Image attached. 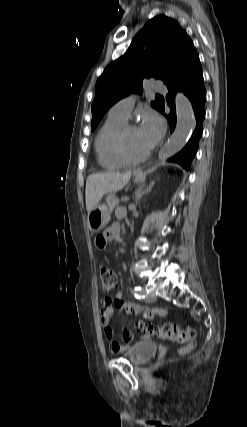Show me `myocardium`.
Returning a JSON list of instances; mask_svg holds the SVG:
<instances>
[{"label":"myocardium","mask_w":247,"mask_h":427,"mask_svg":"<svg viewBox=\"0 0 247 427\" xmlns=\"http://www.w3.org/2000/svg\"><path fill=\"white\" fill-rule=\"evenodd\" d=\"M136 128L135 125L125 123L119 130L115 139V150L118 157L126 164H136L145 161L150 155L152 150L149 149L140 156L134 157L129 154L126 148V135L129 130Z\"/></svg>","instance_id":"f54148a6"}]
</instances>
